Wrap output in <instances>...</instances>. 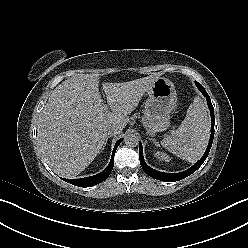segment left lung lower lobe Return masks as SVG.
Returning a JSON list of instances; mask_svg holds the SVG:
<instances>
[{
    "instance_id": "1",
    "label": "left lung lower lobe",
    "mask_w": 248,
    "mask_h": 248,
    "mask_svg": "<svg viewBox=\"0 0 248 248\" xmlns=\"http://www.w3.org/2000/svg\"><path fill=\"white\" fill-rule=\"evenodd\" d=\"M196 85H197L198 89L202 92V94L206 97L207 103L209 106V110H210V115H211V136H210V140H209V144L207 146V149H206L204 155L202 156V158L197 163H195L190 169H188L184 172L170 174V173L159 172V171L154 170L151 167H149L145 163L144 158H143L142 144L139 143L140 164H141L144 172L152 178H155V179L161 180V181H165V182H174V181L182 180V179L186 178L187 176L191 175L192 173H194L203 164V162L205 161V159L207 158V156L209 154V151H210L211 146H212L213 138H214V123H215L214 108H213V105L211 103L210 97L207 94L204 87L201 84H199L198 82H196Z\"/></svg>"
}]
</instances>
